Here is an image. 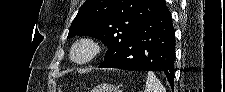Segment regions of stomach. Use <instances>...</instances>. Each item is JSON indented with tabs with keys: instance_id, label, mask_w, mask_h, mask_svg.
Returning a JSON list of instances; mask_svg holds the SVG:
<instances>
[{
	"instance_id": "stomach-1",
	"label": "stomach",
	"mask_w": 225,
	"mask_h": 92,
	"mask_svg": "<svg viewBox=\"0 0 225 92\" xmlns=\"http://www.w3.org/2000/svg\"><path fill=\"white\" fill-rule=\"evenodd\" d=\"M92 92H117V89L113 86L102 85L100 87L95 88Z\"/></svg>"
}]
</instances>
